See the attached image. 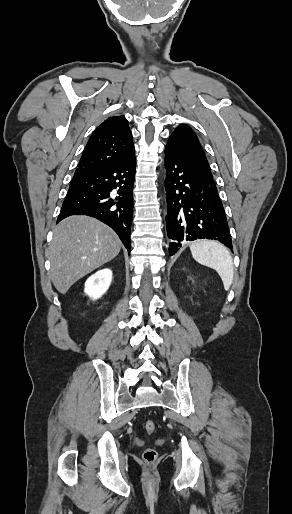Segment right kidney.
<instances>
[{
    "label": "right kidney",
    "instance_id": "right-kidney-1",
    "mask_svg": "<svg viewBox=\"0 0 292 514\" xmlns=\"http://www.w3.org/2000/svg\"><path fill=\"white\" fill-rule=\"evenodd\" d=\"M112 282V272L105 268V270H99L93 276H90L88 280L85 282V294L90 296L92 300H97V298H101L105 292H107L110 284Z\"/></svg>",
    "mask_w": 292,
    "mask_h": 514
}]
</instances>
